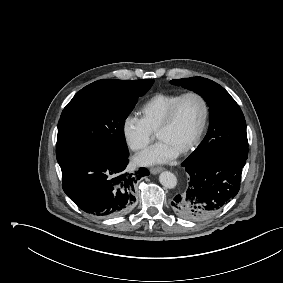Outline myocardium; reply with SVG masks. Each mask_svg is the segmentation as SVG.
I'll return each instance as SVG.
<instances>
[{
    "mask_svg": "<svg viewBox=\"0 0 283 283\" xmlns=\"http://www.w3.org/2000/svg\"><path fill=\"white\" fill-rule=\"evenodd\" d=\"M189 97H195L200 101V103L202 105V111H203L202 120H201L199 129H198L194 139L191 141V143L188 146H186L180 152V154H187V153H190L191 151H193L199 145V143L201 142L202 137H203V135L206 131L208 121H209V105H208L207 100L205 99V97L202 94L195 92V91H189V92L181 94L180 97L170 107V109L168 110L162 124L160 125V127L156 131V134H157V137H158V135L161 132L169 129L172 126L181 103L186 98H189Z\"/></svg>",
    "mask_w": 283,
    "mask_h": 283,
    "instance_id": "f54148a6",
    "label": "myocardium"
}]
</instances>
